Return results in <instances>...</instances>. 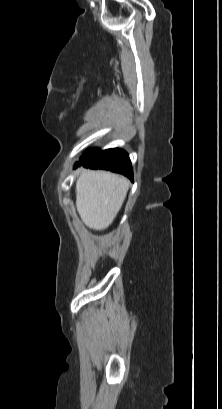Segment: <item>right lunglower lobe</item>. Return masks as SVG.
Masks as SVG:
<instances>
[{
	"label": "right lung lower lobe",
	"mask_w": 222,
	"mask_h": 409,
	"mask_svg": "<svg viewBox=\"0 0 222 409\" xmlns=\"http://www.w3.org/2000/svg\"><path fill=\"white\" fill-rule=\"evenodd\" d=\"M80 165L91 169H105L121 173L133 181V171L128 154L118 148L101 150L91 158L76 163L75 167Z\"/></svg>",
	"instance_id": "1"
}]
</instances>
